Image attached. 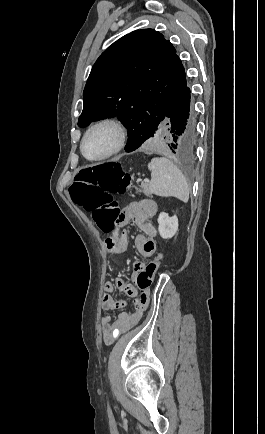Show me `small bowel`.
I'll return each instance as SVG.
<instances>
[{
  "mask_svg": "<svg viewBox=\"0 0 265 434\" xmlns=\"http://www.w3.org/2000/svg\"><path fill=\"white\" fill-rule=\"evenodd\" d=\"M157 212L158 206L153 200L144 199L141 201H132L125 206L119 220V227H124L132 222L142 230L143 233L137 235L135 238V245L145 259H150L156 250L154 238L158 231L153 222V218ZM104 245L108 254L119 256L127 247L126 234L117 231L105 239ZM143 266L144 262L142 261H137L134 264L135 270L133 271L134 275L131 276L132 280L137 278L135 275L140 273V269ZM103 288L102 308L105 311H115L125 307L127 304L126 300L118 299L113 296L115 289H118L121 293L129 297L136 298L130 311L120 312L115 316L109 313L101 316L100 330L102 341L106 345H110L120 335L127 332L139 322L144 310L149 307L150 291H143L141 294L140 304L139 298L137 299V290L121 276H116L113 282L106 280Z\"/></svg>",
  "mask_w": 265,
  "mask_h": 434,
  "instance_id": "1",
  "label": "small bowel"
}]
</instances>
